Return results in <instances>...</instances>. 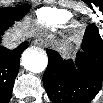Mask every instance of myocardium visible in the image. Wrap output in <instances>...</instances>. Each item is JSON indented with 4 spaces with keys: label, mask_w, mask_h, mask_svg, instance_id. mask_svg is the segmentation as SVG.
I'll use <instances>...</instances> for the list:
<instances>
[{
    "label": "myocardium",
    "mask_w": 103,
    "mask_h": 103,
    "mask_svg": "<svg viewBox=\"0 0 103 103\" xmlns=\"http://www.w3.org/2000/svg\"><path fill=\"white\" fill-rule=\"evenodd\" d=\"M72 27H74V28L79 27V23H78V22H76V21H74V22L72 23Z\"/></svg>",
    "instance_id": "obj_1"
}]
</instances>
